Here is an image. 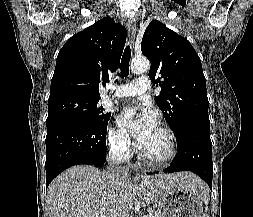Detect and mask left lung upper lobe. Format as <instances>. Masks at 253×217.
<instances>
[{
	"label": "left lung upper lobe",
	"mask_w": 253,
	"mask_h": 217,
	"mask_svg": "<svg viewBox=\"0 0 253 217\" xmlns=\"http://www.w3.org/2000/svg\"><path fill=\"white\" fill-rule=\"evenodd\" d=\"M141 50L151 62V81L161 87L155 101L174 135L185 124L210 126L206 79L190 42L153 20L144 32Z\"/></svg>",
	"instance_id": "5c2ea615"
}]
</instances>
